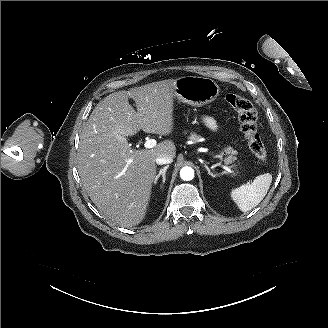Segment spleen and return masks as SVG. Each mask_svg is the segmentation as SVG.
I'll return each mask as SVG.
<instances>
[{
    "label": "spleen",
    "instance_id": "obj_1",
    "mask_svg": "<svg viewBox=\"0 0 328 328\" xmlns=\"http://www.w3.org/2000/svg\"><path fill=\"white\" fill-rule=\"evenodd\" d=\"M272 175L264 173L255 178L252 184H245L230 191V198L237 208L246 213L256 207L266 196Z\"/></svg>",
    "mask_w": 328,
    "mask_h": 328
}]
</instances>
